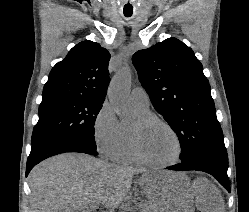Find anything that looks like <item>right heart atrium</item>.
Wrapping results in <instances>:
<instances>
[{"instance_id":"d8ad5b80","label":"right heart atrium","mask_w":249,"mask_h":212,"mask_svg":"<svg viewBox=\"0 0 249 212\" xmlns=\"http://www.w3.org/2000/svg\"><path fill=\"white\" fill-rule=\"evenodd\" d=\"M92 134L98 151L106 158L115 159L122 144V132L109 102H104L95 114Z\"/></svg>"}]
</instances>
